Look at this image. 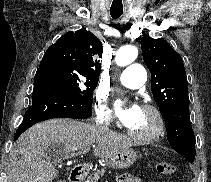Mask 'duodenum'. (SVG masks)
Returning <instances> with one entry per match:
<instances>
[{"instance_id":"410a0bca","label":"duodenum","mask_w":211,"mask_h":182,"mask_svg":"<svg viewBox=\"0 0 211 182\" xmlns=\"http://www.w3.org/2000/svg\"><path fill=\"white\" fill-rule=\"evenodd\" d=\"M84 178V167L79 166L74 168L70 174V182H82Z\"/></svg>"}]
</instances>
